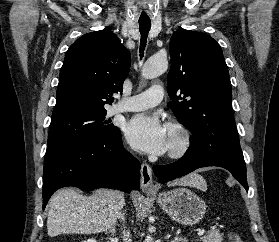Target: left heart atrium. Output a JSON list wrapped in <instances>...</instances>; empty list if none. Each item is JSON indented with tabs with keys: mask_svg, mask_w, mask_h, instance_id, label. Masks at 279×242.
Segmentation results:
<instances>
[{
	"mask_svg": "<svg viewBox=\"0 0 279 242\" xmlns=\"http://www.w3.org/2000/svg\"><path fill=\"white\" fill-rule=\"evenodd\" d=\"M168 127L155 114H140L126 127L128 142L153 155H162L169 149Z\"/></svg>",
	"mask_w": 279,
	"mask_h": 242,
	"instance_id": "39dd6f15",
	"label": "left heart atrium"
}]
</instances>
